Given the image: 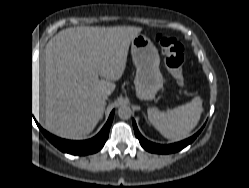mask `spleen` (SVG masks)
<instances>
[{"label": "spleen", "mask_w": 249, "mask_h": 188, "mask_svg": "<svg viewBox=\"0 0 249 188\" xmlns=\"http://www.w3.org/2000/svg\"><path fill=\"white\" fill-rule=\"evenodd\" d=\"M202 108V99L197 96L189 103L178 106L168 112L148 108L150 123L166 138L182 140L197 126Z\"/></svg>", "instance_id": "1"}]
</instances>
